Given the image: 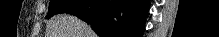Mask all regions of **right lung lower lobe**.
Returning <instances> with one entry per match:
<instances>
[{
  "instance_id": "1",
  "label": "right lung lower lobe",
  "mask_w": 219,
  "mask_h": 37,
  "mask_svg": "<svg viewBox=\"0 0 219 37\" xmlns=\"http://www.w3.org/2000/svg\"><path fill=\"white\" fill-rule=\"evenodd\" d=\"M148 8L147 0H81L64 13L90 24L100 37H141Z\"/></svg>"
}]
</instances>
